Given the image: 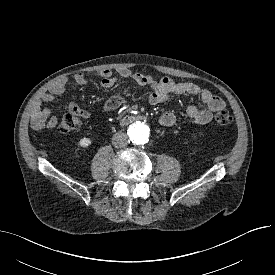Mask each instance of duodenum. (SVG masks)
<instances>
[{
  "instance_id": "duodenum-1",
  "label": "duodenum",
  "mask_w": 275,
  "mask_h": 275,
  "mask_svg": "<svg viewBox=\"0 0 275 275\" xmlns=\"http://www.w3.org/2000/svg\"><path fill=\"white\" fill-rule=\"evenodd\" d=\"M137 119H141L140 116H132V115H129V116H125L123 119H122V124H128L132 121H135Z\"/></svg>"
}]
</instances>
